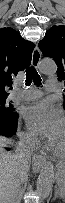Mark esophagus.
Returning <instances> with one entry per match:
<instances>
[{
    "label": "esophagus",
    "mask_w": 65,
    "mask_h": 203,
    "mask_svg": "<svg viewBox=\"0 0 65 203\" xmlns=\"http://www.w3.org/2000/svg\"><path fill=\"white\" fill-rule=\"evenodd\" d=\"M41 59V53L39 49L36 47L32 53V65L34 67H38L39 62ZM45 157L39 155V154H34L32 157V166L34 170H39L41 165L44 163Z\"/></svg>",
    "instance_id": "esophagus-1"
}]
</instances>
